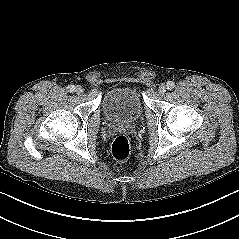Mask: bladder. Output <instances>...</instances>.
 <instances>
[{"mask_svg":"<svg viewBox=\"0 0 239 239\" xmlns=\"http://www.w3.org/2000/svg\"><path fill=\"white\" fill-rule=\"evenodd\" d=\"M102 108L110 122L132 123L143 112L138 91L128 86H117L107 90L102 98Z\"/></svg>","mask_w":239,"mask_h":239,"instance_id":"obj_1","label":"bladder"}]
</instances>
